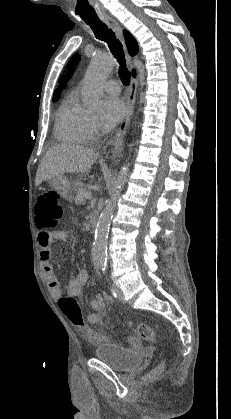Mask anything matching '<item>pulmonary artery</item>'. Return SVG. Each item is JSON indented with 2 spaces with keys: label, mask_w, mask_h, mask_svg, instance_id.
Instances as JSON below:
<instances>
[{
  "label": "pulmonary artery",
  "mask_w": 231,
  "mask_h": 419,
  "mask_svg": "<svg viewBox=\"0 0 231 419\" xmlns=\"http://www.w3.org/2000/svg\"><path fill=\"white\" fill-rule=\"evenodd\" d=\"M104 90L112 95H117L120 92L119 84L114 80H108L103 84Z\"/></svg>",
  "instance_id": "obj_1"
}]
</instances>
